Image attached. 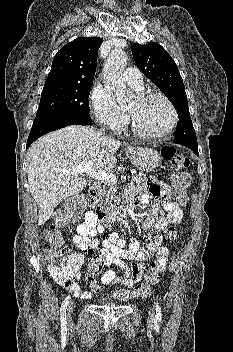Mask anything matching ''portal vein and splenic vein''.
I'll list each match as a JSON object with an SVG mask.
<instances>
[{
    "instance_id": "18ae733b",
    "label": "portal vein and splenic vein",
    "mask_w": 233,
    "mask_h": 352,
    "mask_svg": "<svg viewBox=\"0 0 233 352\" xmlns=\"http://www.w3.org/2000/svg\"><path fill=\"white\" fill-rule=\"evenodd\" d=\"M63 174L67 175H78L81 173L88 174L91 178L96 180L108 181L115 183L117 181L116 176L108 172H97L92 170V163L79 164L71 170H60ZM132 174H134L132 172Z\"/></svg>"
}]
</instances>
